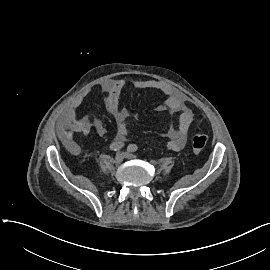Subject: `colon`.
<instances>
[{"instance_id": "1", "label": "colon", "mask_w": 270, "mask_h": 270, "mask_svg": "<svg viewBox=\"0 0 270 270\" xmlns=\"http://www.w3.org/2000/svg\"><path fill=\"white\" fill-rule=\"evenodd\" d=\"M207 136L201 131H196L192 136V149L195 152L202 151L207 144Z\"/></svg>"}]
</instances>
